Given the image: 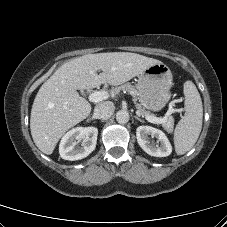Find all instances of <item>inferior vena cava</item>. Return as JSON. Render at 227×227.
I'll return each mask as SVG.
<instances>
[{
  "label": "inferior vena cava",
  "mask_w": 227,
  "mask_h": 227,
  "mask_svg": "<svg viewBox=\"0 0 227 227\" xmlns=\"http://www.w3.org/2000/svg\"><path fill=\"white\" fill-rule=\"evenodd\" d=\"M114 109L115 107L112 102H103L95 107L94 114L97 118L106 120L111 117Z\"/></svg>",
  "instance_id": "1"
}]
</instances>
